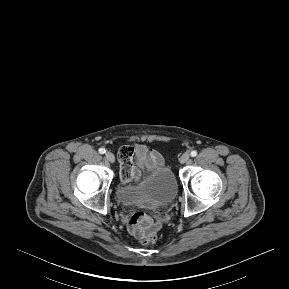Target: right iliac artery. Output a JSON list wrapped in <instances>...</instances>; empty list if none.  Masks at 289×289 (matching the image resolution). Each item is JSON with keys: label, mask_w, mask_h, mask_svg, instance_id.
<instances>
[{"label": "right iliac artery", "mask_w": 289, "mask_h": 289, "mask_svg": "<svg viewBox=\"0 0 289 289\" xmlns=\"http://www.w3.org/2000/svg\"><path fill=\"white\" fill-rule=\"evenodd\" d=\"M105 152H106V150H105L104 148H100V149H99V153H100V154H104Z\"/></svg>", "instance_id": "obj_1"}]
</instances>
